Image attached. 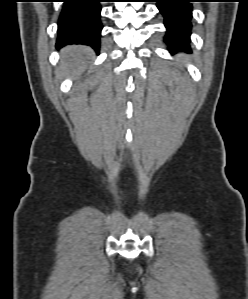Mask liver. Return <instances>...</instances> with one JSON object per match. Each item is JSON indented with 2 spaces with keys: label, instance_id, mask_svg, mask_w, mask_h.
Returning a JSON list of instances; mask_svg holds the SVG:
<instances>
[{
  "label": "liver",
  "instance_id": "obj_1",
  "mask_svg": "<svg viewBox=\"0 0 248 299\" xmlns=\"http://www.w3.org/2000/svg\"><path fill=\"white\" fill-rule=\"evenodd\" d=\"M60 72L80 74L86 67L92 50L82 45L67 46L61 51Z\"/></svg>",
  "mask_w": 248,
  "mask_h": 299
}]
</instances>
